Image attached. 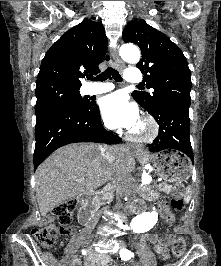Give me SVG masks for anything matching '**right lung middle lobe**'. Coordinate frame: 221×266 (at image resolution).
<instances>
[{
	"label": "right lung middle lobe",
	"instance_id": "dd1d6c3e",
	"mask_svg": "<svg viewBox=\"0 0 221 266\" xmlns=\"http://www.w3.org/2000/svg\"><path fill=\"white\" fill-rule=\"evenodd\" d=\"M79 89L64 85L36 87V120L57 109L82 110L86 108L89 101L81 97Z\"/></svg>",
	"mask_w": 221,
	"mask_h": 266
}]
</instances>
